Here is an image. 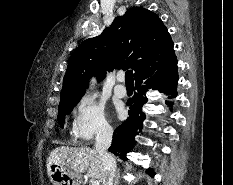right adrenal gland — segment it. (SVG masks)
I'll list each match as a JSON object with an SVG mask.
<instances>
[{"label": "right adrenal gland", "mask_w": 233, "mask_h": 185, "mask_svg": "<svg viewBox=\"0 0 233 185\" xmlns=\"http://www.w3.org/2000/svg\"><path fill=\"white\" fill-rule=\"evenodd\" d=\"M119 169L116 172V176H115V180H114V185H118L119 184Z\"/></svg>", "instance_id": "2a0ac1e0"}]
</instances>
